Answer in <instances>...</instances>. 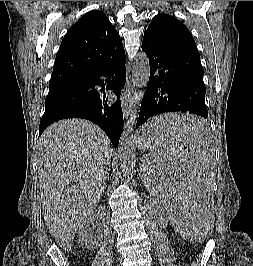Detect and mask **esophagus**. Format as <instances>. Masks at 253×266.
I'll return each instance as SVG.
<instances>
[{
	"label": "esophagus",
	"mask_w": 253,
	"mask_h": 266,
	"mask_svg": "<svg viewBox=\"0 0 253 266\" xmlns=\"http://www.w3.org/2000/svg\"><path fill=\"white\" fill-rule=\"evenodd\" d=\"M132 92L133 86L131 84V81L127 79L122 93V111L125 118H128L132 111Z\"/></svg>",
	"instance_id": "1"
}]
</instances>
